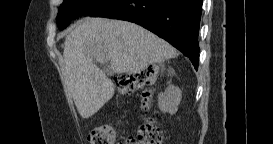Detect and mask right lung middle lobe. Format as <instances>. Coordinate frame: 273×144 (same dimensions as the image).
Returning a JSON list of instances; mask_svg holds the SVG:
<instances>
[{"label": "right lung middle lobe", "instance_id": "obj_1", "mask_svg": "<svg viewBox=\"0 0 273 144\" xmlns=\"http://www.w3.org/2000/svg\"><path fill=\"white\" fill-rule=\"evenodd\" d=\"M109 0H64L57 15V25L63 29L70 21L82 15H90Z\"/></svg>", "mask_w": 273, "mask_h": 144}]
</instances>
